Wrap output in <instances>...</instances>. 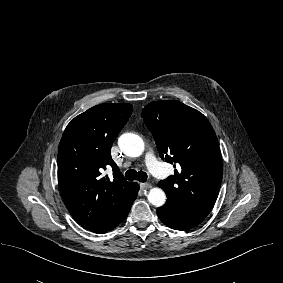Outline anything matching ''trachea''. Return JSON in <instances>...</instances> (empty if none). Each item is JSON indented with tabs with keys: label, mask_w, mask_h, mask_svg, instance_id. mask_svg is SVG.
<instances>
[{
	"label": "trachea",
	"mask_w": 283,
	"mask_h": 283,
	"mask_svg": "<svg viewBox=\"0 0 283 283\" xmlns=\"http://www.w3.org/2000/svg\"><path fill=\"white\" fill-rule=\"evenodd\" d=\"M125 176L128 180H138L140 182H146L147 174L143 171H136L134 169H130L125 173Z\"/></svg>",
	"instance_id": "obj_1"
}]
</instances>
